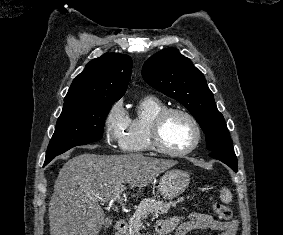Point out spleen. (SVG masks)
<instances>
[{"label": "spleen", "mask_w": 283, "mask_h": 235, "mask_svg": "<svg viewBox=\"0 0 283 235\" xmlns=\"http://www.w3.org/2000/svg\"><path fill=\"white\" fill-rule=\"evenodd\" d=\"M232 193L227 188H222L220 190V199L223 203L229 204L232 201Z\"/></svg>", "instance_id": "spleen-1"}]
</instances>
